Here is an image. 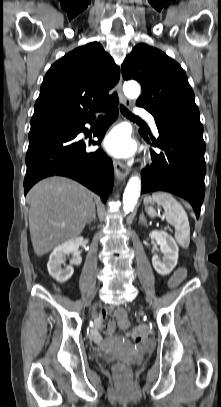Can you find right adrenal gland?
Wrapping results in <instances>:
<instances>
[{
	"mask_svg": "<svg viewBox=\"0 0 221 407\" xmlns=\"http://www.w3.org/2000/svg\"><path fill=\"white\" fill-rule=\"evenodd\" d=\"M95 221L96 220V210H95V206H94V209H93V213H92V215H91V217L88 219V221H87V224L89 225V224H91V222L92 221Z\"/></svg>",
	"mask_w": 221,
	"mask_h": 407,
	"instance_id": "1",
	"label": "right adrenal gland"
}]
</instances>
